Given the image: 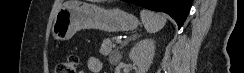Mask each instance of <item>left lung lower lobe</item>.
Here are the masks:
<instances>
[{"instance_id": "left-lung-lower-lobe-1", "label": "left lung lower lobe", "mask_w": 244, "mask_h": 73, "mask_svg": "<svg viewBox=\"0 0 244 73\" xmlns=\"http://www.w3.org/2000/svg\"><path fill=\"white\" fill-rule=\"evenodd\" d=\"M153 11L169 14L182 27L188 16L192 0H124Z\"/></svg>"}]
</instances>
